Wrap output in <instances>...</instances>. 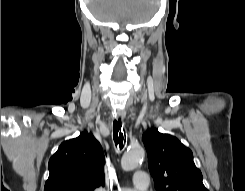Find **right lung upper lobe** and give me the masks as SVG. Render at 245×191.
I'll return each mask as SVG.
<instances>
[{
	"label": "right lung upper lobe",
	"instance_id": "obj_1",
	"mask_svg": "<svg viewBox=\"0 0 245 191\" xmlns=\"http://www.w3.org/2000/svg\"><path fill=\"white\" fill-rule=\"evenodd\" d=\"M105 156L91 133L63 142L49 160L44 191H94L104 186Z\"/></svg>",
	"mask_w": 245,
	"mask_h": 191
}]
</instances>
